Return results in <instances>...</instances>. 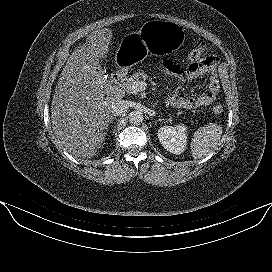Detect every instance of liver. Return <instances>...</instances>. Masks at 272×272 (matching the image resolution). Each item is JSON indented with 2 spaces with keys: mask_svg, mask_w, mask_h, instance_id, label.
Here are the masks:
<instances>
[{
  "mask_svg": "<svg viewBox=\"0 0 272 272\" xmlns=\"http://www.w3.org/2000/svg\"><path fill=\"white\" fill-rule=\"evenodd\" d=\"M113 37L108 28L93 31L68 58L51 104V121L58 143L70 154L93 157L105 140L111 104L125 92L107 80L99 63Z\"/></svg>",
  "mask_w": 272,
  "mask_h": 272,
  "instance_id": "1",
  "label": "liver"
}]
</instances>
